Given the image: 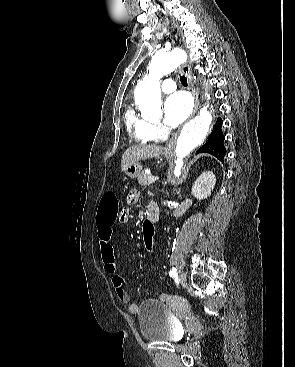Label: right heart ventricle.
Listing matches in <instances>:
<instances>
[{"label": "right heart ventricle", "mask_w": 295, "mask_h": 367, "mask_svg": "<svg viewBox=\"0 0 295 367\" xmlns=\"http://www.w3.org/2000/svg\"><path fill=\"white\" fill-rule=\"evenodd\" d=\"M124 122L129 135L135 142L147 144L157 139L152 131V123L140 116L132 106L126 109Z\"/></svg>", "instance_id": "1"}]
</instances>
